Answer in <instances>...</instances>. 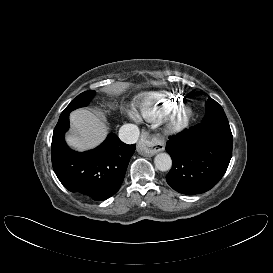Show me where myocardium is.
<instances>
[{"label":"myocardium","instance_id":"myocardium-1","mask_svg":"<svg viewBox=\"0 0 273 273\" xmlns=\"http://www.w3.org/2000/svg\"><path fill=\"white\" fill-rule=\"evenodd\" d=\"M192 116V109L188 105L175 108L166 122V132L169 134H178L185 130Z\"/></svg>","mask_w":273,"mask_h":273}]
</instances>
